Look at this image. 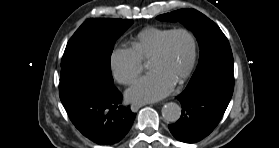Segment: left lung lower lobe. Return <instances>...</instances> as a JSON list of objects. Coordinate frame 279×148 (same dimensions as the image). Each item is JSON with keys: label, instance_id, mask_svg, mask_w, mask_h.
<instances>
[{"label": "left lung lower lobe", "instance_id": "left-lung-lower-lobe-1", "mask_svg": "<svg viewBox=\"0 0 279 148\" xmlns=\"http://www.w3.org/2000/svg\"><path fill=\"white\" fill-rule=\"evenodd\" d=\"M233 65L217 66L190 80L176 97L180 119L169 130L179 141L195 143L208 136L220 122L233 94Z\"/></svg>", "mask_w": 279, "mask_h": 148}]
</instances>
